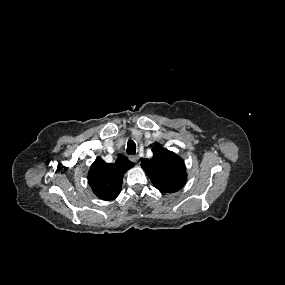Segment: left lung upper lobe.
<instances>
[{
  "label": "left lung upper lobe",
  "mask_w": 285,
  "mask_h": 285,
  "mask_svg": "<svg viewBox=\"0 0 285 285\" xmlns=\"http://www.w3.org/2000/svg\"><path fill=\"white\" fill-rule=\"evenodd\" d=\"M151 160L144 159L141 167L145 170L153 185L164 193L180 190L186 183L185 164L174 152L164 149L156 143L152 148Z\"/></svg>",
  "instance_id": "5c2ea615"
}]
</instances>
